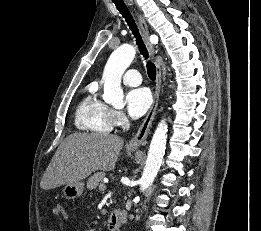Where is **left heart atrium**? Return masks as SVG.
I'll return each mask as SVG.
<instances>
[{"instance_id":"left-heart-atrium-1","label":"left heart atrium","mask_w":261,"mask_h":231,"mask_svg":"<svg viewBox=\"0 0 261 231\" xmlns=\"http://www.w3.org/2000/svg\"><path fill=\"white\" fill-rule=\"evenodd\" d=\"M125 102L129 115L133 118H139L150 108L152 96L147 88L139 87L126 94Z\"/></svg>"}]
</instances>
